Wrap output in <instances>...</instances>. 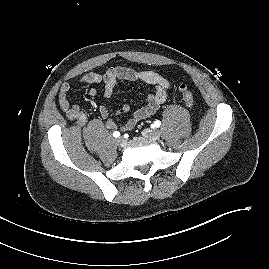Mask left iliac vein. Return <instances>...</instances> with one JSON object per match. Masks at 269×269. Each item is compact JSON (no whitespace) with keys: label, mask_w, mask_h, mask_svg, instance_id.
Listing matches in <instances>:
<instances>
[{"label":"left iliac vein","mask_w":269,"mask_h":269,"mask_svg":"<svg viewBox=\"0 0 269 269\" xmlns=\"http://www.w3.org/2000/svg\"><path fill=\"white\" fill-rule=\"evenodd\" d=\"M142 135L144 138L146 139H150V140H158L159 137H160V132L159 130L157 129H150V128H147V129H144L142 131Z\"/></svg>","instance_id":"left-iliac-vein-1"}]
</instances>
